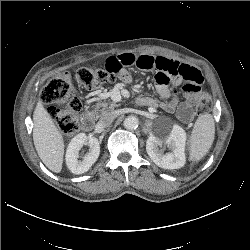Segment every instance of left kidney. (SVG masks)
I'll return each mask as SVG.
<instances>
[{
	"instance_id": "5707ae66",
	"label": "left kidney",
	"mask_w": 250,
	"mask_h": 250,
	"mask_svg": "<svg viewBox=\"0 0 250 250\" xmlns=\"http://www.w3.org/2000/svg\"><path fill=\"white\" fill-rule=\"evenodd\" d=\"M186 132L174 124L171 132L164 138L151 135L146 141V151L151 160L164 169H178L185 165ZM166 146L170 152L164 153Z\"/></svg>"
}]
</instances>
